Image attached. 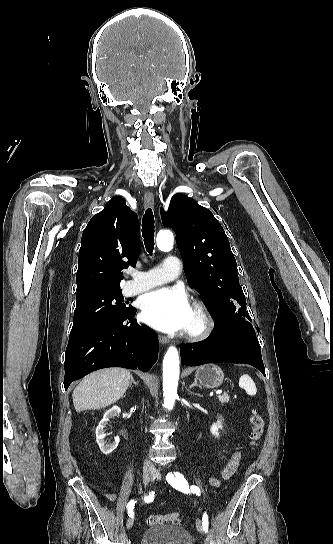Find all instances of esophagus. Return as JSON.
Wrapping results in <instances>:
<instances>
[{"instance_id":"34e87169","label":"esophagus","mask_w":333,"mask_h":544,"mask_svg":"<svg viewBox=\"0 0 333 544\" xmlns=\"http://www.w3.org/2000/svg\"><path fill=\"white\" fill-rule=\"evenodd\" d=\"M144 203L146 207L153 208L154 207V195L150 191H146L144 195ZM159 342L162 344L169 343V339L166 336L159 335L158 336Z\"/></svg>"}]
</instances>
